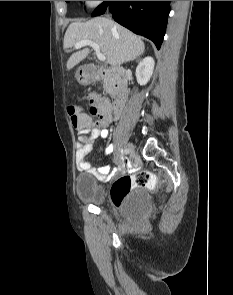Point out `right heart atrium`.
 <instances>
[{"instance_id":"obj_1","label":"right heart atrium","mask_w":233,"mask_h":295,"mask_svg":"<svg viewBox=\"0 0 233 295\" xmlns=\"http://www.w3.org/2000/svg\"><path fill=\"white\" fill-rule=\"evenodd\" d=\"M103 1H86V5L89 8H95L97 6H99Z\"/></svg>"}]
</instances>
